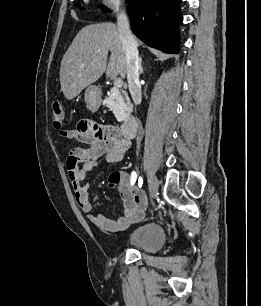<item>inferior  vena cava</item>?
Here are the masks:
<instances>
[{
    "label": "inferior vena cava",
    "instance_id": "obj_1",
    "mask_svg": "<svg viewBox=\"0 0 261 306\" xmlns=\"http://www.w3.org/2000/svg\"><path fill=\"white\" fill-rule=\"evenodd\" d=\"M117 27L126 56V74L129 91L136 105L141 103V86L139 83L140 59L136 41L131 33L126 13L120 11L117 14Z\"/></svg>",
    "mask_w": 261,
    "mask_h": 306
}]
</instances>
